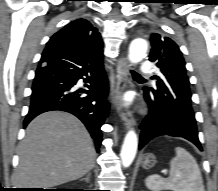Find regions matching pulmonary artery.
<instances>
[{"mask_svg":"<svg viewBox=\"0 0 218 191\" xmlns=\"http://www.w3.org/2000/svg\"><path fill=\"white\" fill-rule=\"evenodd\" d=\"M151 73V64L149 61H145L142 63L140 67V75L148 76Z\"/></svg>","mask_w":218,"mask_h":191,"instance_id":"pulmonary-artery-1","label":"pulmonary artery"}]
</instances>
